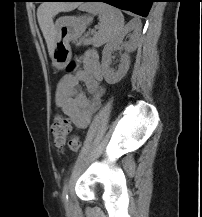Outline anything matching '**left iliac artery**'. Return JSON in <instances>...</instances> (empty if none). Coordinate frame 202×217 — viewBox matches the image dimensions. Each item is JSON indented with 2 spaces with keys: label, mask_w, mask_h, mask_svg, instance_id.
Here are the masks:
<instances>
[{
  "label": "left iliac artery",
  "mask_w": 202,
  "mask_h": 217,
  "mask_svg": "<svg viewBox=\"0 0 202 217\" xmlns=\"http://www.w3.org/2000/svg\"><path fill=\"white\" fill-rule=\"evenodd\" d=\"M69 184L70 181L65 183L64 187H63V192H62V199L64 202H66L68 200V189H69Z\"/></svg>",
  "instance_id": "1"
}]
</instances>
